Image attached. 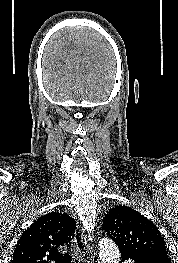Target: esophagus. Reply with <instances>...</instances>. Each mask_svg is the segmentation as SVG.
Instances as JSON below:
<instances>
[{
    "mask_svg": "<svg viewBox=\"0 0 178 263\" xmlns=\"http://www.w3.org/2000/svg\"><path fill=\"white\" fill-rule=\"evenodd\" d=\"M86 239L85 230L81 225H78L75 231V242L80 251L81 263H99L97 253L90 247ZM83 245L85 246L86 252L81 250Z\"/></svg>",
    "mask_w": 178,
    "mask_h": 263,
    "instance_id": "esophagus-1",
    "label": "esophagus"
}]
</instances>
